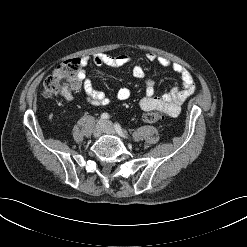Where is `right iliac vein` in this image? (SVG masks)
I'll use <instances>...</instances> for the list:
<instances>
[{"label": "right iliac vein", "mask_w": 247, "mask_h": 247, "mask_svg": "<svg viewBox=\"0 0 247 247\" xmlns=\"http://www.w3.org/2000/svg\"><path fill=\"white\" fill-rule=\"evenodd\" d=\"M104 128H105L104 122L102 120H99L94 127L93 136L99 137L102 134Z\"/></svg>", "instance_id": "1"}]
</instances>
